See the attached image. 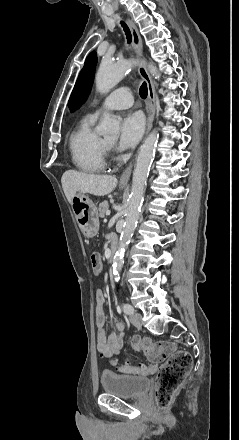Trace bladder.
<instances>
[{"instance_id": "obj_1", "label": "bladder", "mask_w": 239, "mask_h": 440, "mask_svg": "<svg viewBox=\"0 0 239 440\" xmlns=\"http://www.w3.org/2000/svg\"><path fill=\"white\" fill-rule=\"evenodd\" d=\"M100 382L105 393L121 398H140L151 387V381L147 377L121 375L112 371H102Z\"/></svg>"}]
</instances>
